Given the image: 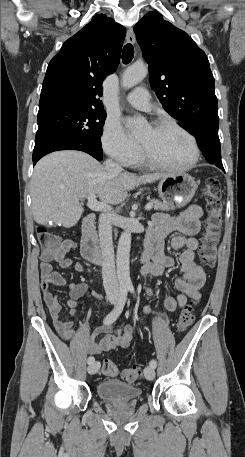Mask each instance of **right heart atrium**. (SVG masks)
<instances>
[{
    "label": "right heart atrium",
    "mask_w": 245,
    "mask_h": 457,
    "mask_svg": "<svg viewBox=\"0 0 245 457\" xmlns=\"http://www.w3.org/2000/svg\"><path fill=\"white\" fill-rule=\"evenodd\" d=\"M102 143L110 156L126 164L130 163L137 154L136 144L127 137L116 119L110 118L106 121Z\"/></svg>",
    "instance_id": "d8ad5b80"
}]
</instances>
